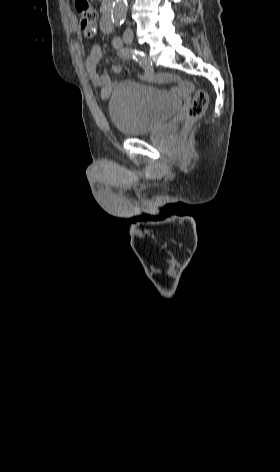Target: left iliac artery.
<instances>
[{
  "mask_svg": "<svg viewBox=\"0 0 280 472\" xmlns=\"http://www.w3.org/2000/svg\"><path fill=\"white\" fill-rule=\"evenodd\" d=\"M112 44L115 48H121L122 47V40L120 37H115L112 41Z\"/></svg>",
  "mask_w": 280,
  "mask_h": 472,
  "instance_id": "44dca946",
  "label": "left iliac artery"
}]
</instances>
